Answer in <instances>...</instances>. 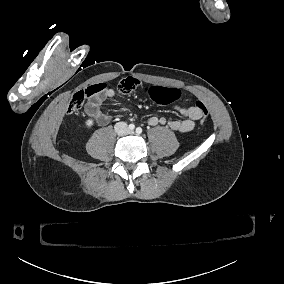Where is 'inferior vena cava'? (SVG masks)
Masks as SVG:
<instances>
[{
    "label": "inferior vena cava",
    "instance_id": "obj_1",
    "mask_svg": "<svg viewBox=\"0 0 284 284\" xmlns=\"http://www.w3.org/2000/svg\"><path fill=\"white\" fill-rule=\"evenodd\" d=\"M114 128L119 136H125L130 133V129L126 122H118L115 124Z\"/></svg>",
    "mask_w": 284,
    "mask_h": 284
}]
</instances>
